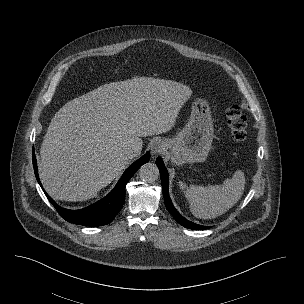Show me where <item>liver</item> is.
<instances>
[{
	"label": "liver",
	"mask_w": 304,
	"mask_h": 304,
	"mask_svg": "<svg viewBox=\"0 0 304 304\" xmlns=\"http://www.w3.org/2000/svg\"><path fill=\"white\" fill-rule=\"evenodd\" d=\"M191 95L176 81L136 77L67 102L52 118L40 149L45 190L64 201L94 197L132 159L127 147L142 149L140 137L169 131Z\"/></svg>",
	"instance_id": "1"
}]
</instances>
